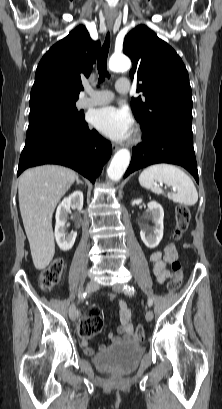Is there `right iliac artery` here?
I'll return each instance as SVG.
<instances>
[{
  "instance_id": "right-iliac-artery-1",
  "label": "right iliac artery",
  "mask_w": 222,
  "mask_h": 409,
  "mask_svg": "<svg viewBox=\"0 0 222 409\" xmlns=\"http://www.w3.org/2000/svg\"><path fill=\"white\" fill-rule=\"evenodd\" d=\"M86 296H87V293H80V294L78 295V298H79V300H82V299H84Z\"/></svg>"
}]
</instances>
